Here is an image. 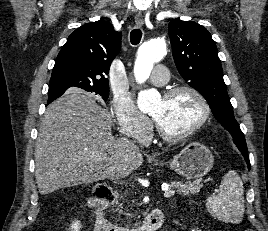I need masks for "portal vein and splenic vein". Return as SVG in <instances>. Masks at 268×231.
<instances>
[{"label":"portal vein and splenic vein","mask_w":268,"mask_h":231,"mask_svg":"<svg viewBox=\"0 0 268 231\" xmlns=\"http://www.w3.org/2000/svg\"><path fill=\"white\" fill-rule=\"evenodd\" d=\"M164 197L165 198H170L171 196H173L174 194H175V191L174 190H172V189H169V188H167V189H164Z\"/></svg>","instance_id":"portal-vein-and-splenic-vein-1"}]
</instances>
